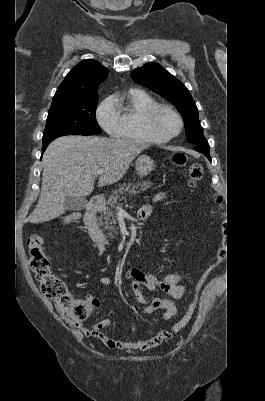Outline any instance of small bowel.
Listing matches in <instances>:
<instances>
[{
	"instance_id": "small-bowel-1",
	"label": "small bowel",
	"mask_w": 265,
	"mask_h": 401,
	"mask_svg": "<svg viewBox=\"0 0 265 401\" xmlns=\"http://www.w3.org/2000/svg\"><path fill=\"white\" fill-rule=\"evenodd\" d=\"M165 196L163 193L156 194L153 198V202L157 203L163 201ZM153 210L151 204H146L139 210V217L141 219L148 218ZM93 247L97 250L98 256L103 257L105 253V244L94 242ZM125 277L131 282V289L139 304L143 306V311L147 314L154 315V320L157 321L159 318L170 319L177 314V306L172 300L156 297L148 299L143 293V287L148 291L153 292L160 290L171 299H179L183 297L187 291L186 285L182 283L183 275L180 273H155L152 271H145L137 267L129 268ZM98 282L102 285H112V280L106 276H100L97 278ZM88 300L99 301L97 299L88 298ZM161 311L160 315L157 316L156 312ZM110 325L109 319H103L90 328H82V332L86 336L96 337L100 339L107 347L112 349H130V350H147L160 345L164 340L168 339L165 335L166 331H161L156 335L150 333V338L140 339L136 341H122L109 337L104 334L101 330L107 328ZM133 331H135V325H132Z\"/></svg>"
}]
</instances>
